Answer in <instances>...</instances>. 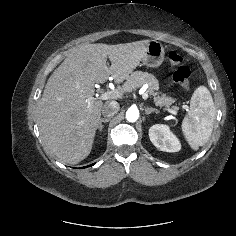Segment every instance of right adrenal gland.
<instances>
[{"instance_id": "obj_1", "label": "right adrenal gland", "mask_w": 236, "mask_h": 236, "mask_svg": "<svg viewBox=\"0 0 236 236\" xmlns=\"http://www.w3.org/2000/svg\"><path fill=\"white\" fill-rule=\"evenodd\" d=\"M109 121H110V118L100 119L99 124H98V130L101 131L103 129V124L102 123H107Z\"/></svg>"}]
</instances>
